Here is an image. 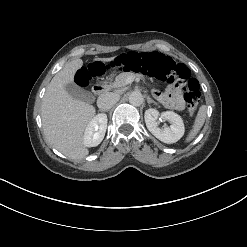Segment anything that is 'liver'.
<instances>
[{"label":"liver","instance_id":"1","mask_svg":"<svg viewBox=\"0 0 247 247\" xmlns=\"http://www.w3.org/2000/svg\"><path fill=\"white\" fill-rule=\"evenodd\" d=\"M109 62L111 58H95ZM83 65L75 59L58 72L48 85L41 106V118L48 142L71 159H83L89 154L84 145V131L95 115L94 106L72 98L65 89L73 84L75 72Z\"/></svg>","mask_w":247,"mask_h":247}]
</instances>
